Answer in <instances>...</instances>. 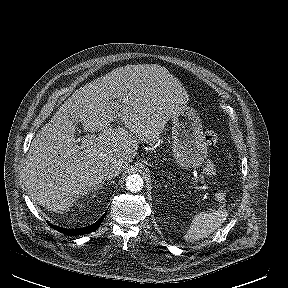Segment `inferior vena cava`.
Listing matches in <instances>:
<instances>
[{"mask_svg":"<svg viewBox=\"0 0 288 288\" xmlns=\"http://www.w3.org/2000/svg\"><path fill=\"white\" fill-rule=\"evenodd\" d=\"M122 171L120 162L105 163L98 169V174L102 179H113Z\"/></svg>","mask_w":288,"mask_h":288,"instance_id":"obj_1","label":"inferior vena cava"}]
</instances>
